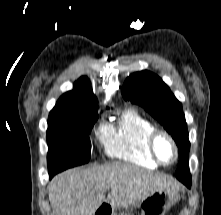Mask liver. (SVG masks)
<instances>
[{
	"instance_id": "1",
	"label": "liver",
	"mask_w": 221,
	"mask_h": 215,
	"mask_svg": "<svg viewBox=\"0 0 221 215\" xmlns=\"http://www.w3.org/2000/svg\"><path fill=\"white\" fill-rule=\"evenodd\" d=\"M179 188L171 177L115 162L67 170L54 177L48 190L56 215H93L103 202L113 209L128 207L157 190Z\"/></svg>"
}]
</instances>
